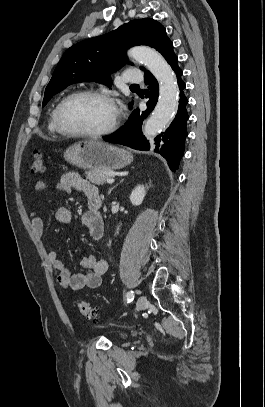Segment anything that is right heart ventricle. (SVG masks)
<instances>
[{
  "instance_id": "e07e8e85",
  "label": "right heart ventricle",
  "mask_w": 265,
  "mask_h": 407,
  "mask_svg": "<svg viewBox=\"0 0 265 407\" xmlns=\"http://www.w3.org/2000/svg\"><path fill=\"white\" fill-rule=\"evenodd\" d=\"M58 104L52 109L49 122H48V130L53 134L61 135L62 133L59 131L56 123V110Z\"/></svg>"
}]
</instances>
